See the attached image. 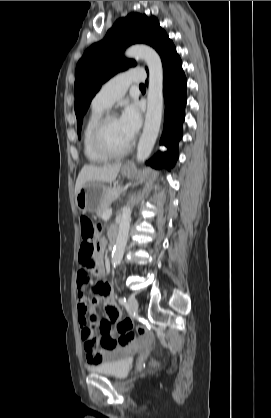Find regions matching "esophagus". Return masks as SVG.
Wrapping results in <instances>:
<instances>
[{
	"instance_id": "obj_1",
	"label": "esophagus",
	"mask_w": 271,
	"mask_h": 418,
	"mask_svg": "<svg viewBox=\"0 0 271 418\" xmlns=\"http://www.w3.org/2000/svg\"><path fill=\"white\" fill-rule=\"evenodd\" d=\"M130 164H131L130 162H127L125 165H126V166H129Z\"/></svg>"
}]
</instances>
